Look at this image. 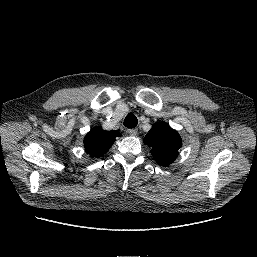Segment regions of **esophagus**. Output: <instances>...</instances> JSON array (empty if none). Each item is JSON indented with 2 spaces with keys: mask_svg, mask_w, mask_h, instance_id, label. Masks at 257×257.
<instances>
[{
  "mask_svg": "<svg viewBox=\"0 0 257 257\" xmlns=\"http://www.w3.org/2000/svg\"><path fill=\"white\" fill-rule=\"evenodd\" d=\"M127 132L131 135V136H136L138 133L137 129H128Z\"/></svg>",
  "mask_w": 257,
  "mask_h": 257,
  "instance_id": "obj_1",
  "label": "esophagus"
}]
</instances>
